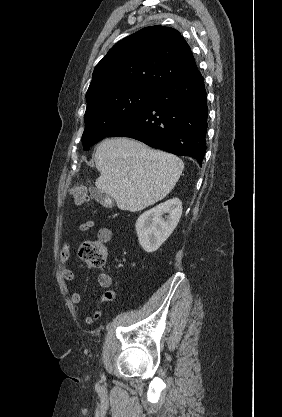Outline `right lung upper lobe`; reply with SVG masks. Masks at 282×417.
<instances>
[{"label":"right lung upper lobe","instance_id":"obj_1","mask_svg":"<svg viewBox=\"0 0 282 417\" xmlns=\"http://www.w3.org/2000/svg\"><path fill=\"white\" fill-rule=\"evenodd\" d=\"M196 70L190 47L177 30L146 27L116 43L97 64L86 99L128 88L157 91Z\"/></svg>","mask_w":282,"mask_h":417}]
</instances>
